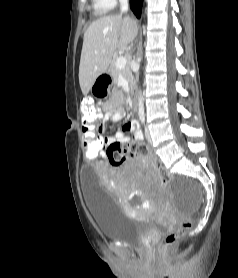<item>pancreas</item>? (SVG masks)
<instances>
[{
	"label": "pancreas",
	"mask_w": 238,
	"mask_h": 278,
	"mask_svg": "<svg viewBox=\"0 0 238 278\" xmlns=\"http://www.w3.org/2000/svg\"><path fill=\"white\" fill-rule=\"evenodd\" d=\"M118 57H119V55H115L113 60L110 63L109 71H110L111 77H112L113 81L115 83H117L119 75L122 74V76L129 83L130 88H132L134 85V77L132 75V71L129 66H125L123 69H118L116 67V60Z\"/></svg>",
	"instance_id": "pancreas-1"
}]
</instances>
